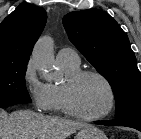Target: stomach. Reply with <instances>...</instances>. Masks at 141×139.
I'll list each match as a JSON object with an SVG mask.
<instances>
[{
    "instance_id": "0dacf381",
    "label": "stomach",
    "mask_w": 141,
    "mask_h": 139,
    "mask_svg": "<svg viewBox=\"0 0 141 139\" xmlns=\"http://www.w3.org/2000/svg\"><path fill=\"white\" fill-rule=\"evenodd\" d=\"M75 139H107L106 135L99 128L88 125L80 129Z\"/></svg>"
}]
</instances>
